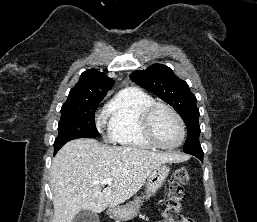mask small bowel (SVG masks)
Listing matches in <instances>:
<instances>
[{"mask_svg": "<svg viewBox=\"0 0 257 222\" xmlns=\"http://www.w3.org/2000/svg\"><path fill=\"white\" fill-rule=\"evenodd\" d=\"M181 222H195V221L189 217H184V218H182Z\"/></svg>", "mask_w": 257, "mask_h": 222, "instance_id": "c3829d8e", "label": "small bowel"}]
</instances>
